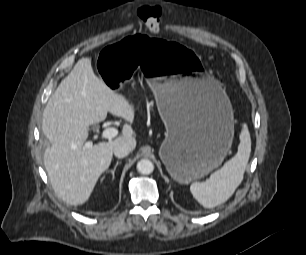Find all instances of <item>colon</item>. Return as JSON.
Segmentation results:
<instances>
[{"mask_svg":"<svg viewBox=\"0 0 306 255\" xmlns=\"http://www.w3.org/2000/svg\"><path fill=\"white\" fill-rule=\"evenodd\" d=\"M162 12V7L159 5L145 6L140 10V17L149 30L157 32Z\"/></svg>","mask_w":306,"mask_h":255,"instance_id":"5ec220e1","label":"colon"}]
</instances>
